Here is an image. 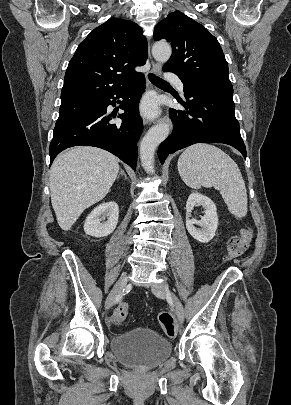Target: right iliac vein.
Listing matches in <instances>:
<instances>
[{
	"label": "right iliac vein",
	"mask_w": 291,
	"mask_h": 405,
	"mask_svg": "<svg viewBox=\"0 0 291 405\" xmlns=\"http://www.w3.org/2000/svg\"><path fill=\"white\" fill-rule=\"evenodd\" d=\"M127 281H128L127 275H123L120 277V279L117 281V283L115 284V286L113 287V289L111 290L106 299L105 303L106 309L112 307L116 298L122 293V291L126 287Z\"/></svg>",
	"instance_id": "right-iliac-vein-1"
}]
</instances>
